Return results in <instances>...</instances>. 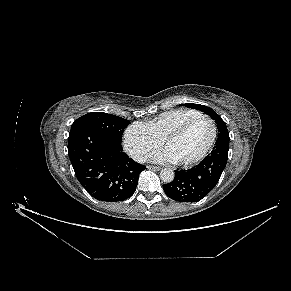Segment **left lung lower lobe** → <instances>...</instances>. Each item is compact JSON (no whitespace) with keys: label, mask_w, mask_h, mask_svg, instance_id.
I'll return each instance as SVG.
<instances>
[{"label":"left lung lower lobe","mask_w":291,"mask_h":291,"mask_svg":"<svg viewBox=\"0 0 291 291\" xmlns=\"http://www.w3.org/2000/svg\"><path fill=\"white\" fill-rule=\"evenodd\" d=\"M229 141H216L212 152L189 170L175 171L172 182L163 185L168 197L178 202H197L218 183L226 166Z\"/></svg>","instance_id":"1"}]
</instances>
